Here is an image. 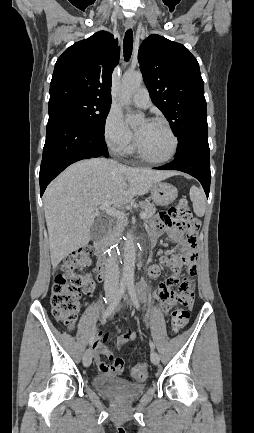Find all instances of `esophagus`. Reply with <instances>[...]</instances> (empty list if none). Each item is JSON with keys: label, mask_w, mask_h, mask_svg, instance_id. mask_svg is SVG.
<instances>
[{"label": "esophagus", "mask_w": 254, "mask_h": 433, "mask_svg": "<svg viewBox=\"0 0 254 433\" xmlns=\"http://www.w3.org/2000/svg\"><path fill=\"white\" fill-rule=\"evenodd\" d=\"M125 27H126L127 29L132 28V27H133V21H132V20H127V21L125 22Z\"/></svg>", "instance_id": "1"}]
</instances>
